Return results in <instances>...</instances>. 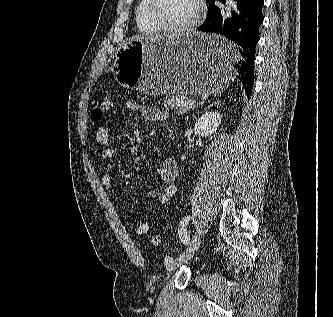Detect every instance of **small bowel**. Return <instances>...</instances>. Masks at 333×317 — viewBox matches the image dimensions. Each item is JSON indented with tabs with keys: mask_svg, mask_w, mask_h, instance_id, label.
I'll use <instances>...</instances> for the list:
<instances>
[{
	"mask_svg": "<svg viewBox=\"0 0 333 317\" xmlns=\"http://www.w3.org/2000/svg\"><path fill=\"white\" fill-rule=\"evenodd\" d=\"M126 107L130 111L141 112L142 115L153 122H165L167 120L166 114L155 106L141 105L138 101L130 99L126 102ZM96 143L103 146L102 158L108 160L116 155V149L110 146V133L106 126H100L95 133ZM157 174L164 183L162 191L151 190L149 197L155 200L158 207H162L170 202V200L177 193L176 179L178 175V166L174 158H166L162 164L157 168ZM113 179L109 171L102 175V184L108 190L112 191ZM150 227V220L147 219L134 227V232L137 235H142L148 231Z\"/></svg>",
	"mask_w": 333,
	"mask_h": 317,
	"instance_id": "obj_1",
	"label": "small bowel"
}]
</instances>
